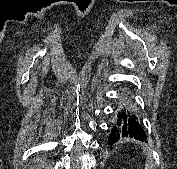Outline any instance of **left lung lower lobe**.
Here are the masks:
<instances>
[{"instance_id": "left-lung-lower-lobe-1", "label": "left lung lower lobe", "mask_w": 177, "mask_h": 169, "mask_svg": "<svg viewBox=\"0 0 177 169\" xmlns=\"http://www.w3.org/2000/svg\"><path fill=\"white\" fill-rule=\"evenodd\" d=\"M120 137H130L141 141H146L147 138V135L128 100L124 101L119 109L117 119L112 125L108 144L112 145Z\"/></svg>"}]
</instances>
